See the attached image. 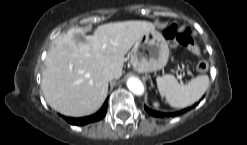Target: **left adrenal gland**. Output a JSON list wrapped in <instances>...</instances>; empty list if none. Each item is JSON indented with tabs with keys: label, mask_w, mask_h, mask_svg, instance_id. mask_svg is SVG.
<instances>
[{
	"label": "left adrenal gland",
	"mask_w": 247,
	"mask_h": 145,
	"mask_svg": "<svg viewBox=\"0 0 247 145\" xmlns=\"http://www.w3.org/2000/svg\"><path fill=\"white\" fill-rule=\"evenodd\" d=\"M151 86H152V87H154V85H153L152 81H151Z\"/></svg>",
	"instance_id": "left-adrenal-gland-1"
}]
</instances>
